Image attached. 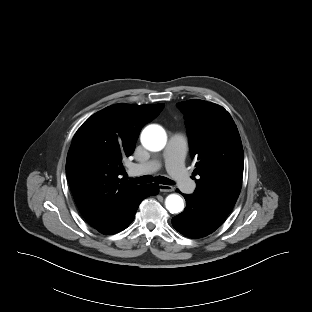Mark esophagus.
Here are the masks:
<instances>
[{"label": "esophagus", "mask_w": 312, "mask_h": 312, "mask_svg": "<svg viewBox=\"0 0 312 312\" xmlns=\"http://www.w3.org/2000/svg\"><path fill=\"white\" fill-rule=\"evenodd\" d=\"M174 188L169 185L160 184L159 185V191L160 192H172Z\"/></svg>", "instance_id": "obj_1"}]
</instances>
